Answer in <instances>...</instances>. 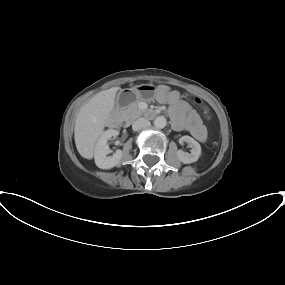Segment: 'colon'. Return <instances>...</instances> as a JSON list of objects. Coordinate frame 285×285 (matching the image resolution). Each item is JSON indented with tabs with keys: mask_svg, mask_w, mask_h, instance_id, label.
<instances>
[{
	"mask_svg": "<svg viewBox=\"0 0 285 285\" xmlns=\"http://www.w3.org/2000/svg\"><path fill=\"white\" fill-rule=\"evenodd\" d=\"M130 98H131V96H128V97L126 96V97H124L125 100H129ZM196 102H197V103H200V100L196 99Z\"/></svg>",
	"mask_w": 285,
	"mask_h": 285,
	"instance_id": "obj_1",
	"label": "colon"
}]
</instances>
